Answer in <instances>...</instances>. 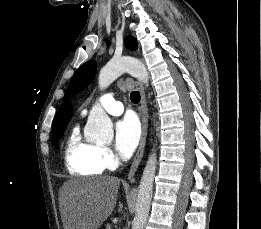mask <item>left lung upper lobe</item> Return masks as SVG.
<instances>
[{
    "label": "left lung upper lobe",
    "mask_w": 261,
    "mask_h": 229,
    "mask_svg": "<svg viewBox=\"0 0 261 229\" xmlns=\"http://www.w3.org/2000/svg\"><path fill=\"white\" fill-rule=\"evenodd\" d=\"M126 45L129 49L134 50L137 47V41L133 37H127ZM96 71L95 61L91 60L82 64L71 79L64 99L74 96L86 88L93 81Z\"/></svg>",
    "instance_id": "5c2ea615"
}]
</instances>
